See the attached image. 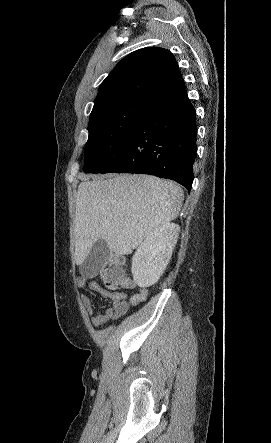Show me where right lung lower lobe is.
Here are the masks:
<instances>
[{
    "label": "right lung lower lobe",
    "instance_id": "obj_1",
    "mask_svg": "<svg viewBox=\"0 0 271 443\" xmlns=\"http://www.w3.org/2000/svg\"><path fill=\"white\" fill-rule=\"evenodd\" d=\"M196 112L185 92L153 103L109 160L92 173H141L191 190L196 158Z\"/></svg>",
    "mask_w": 271,
    "mask_h": 443
}]
</instances>
